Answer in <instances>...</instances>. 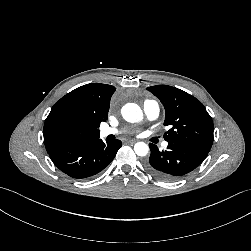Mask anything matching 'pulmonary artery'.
<instances>
[{
	"mask_svg": "<svg viewBox=\"0 0 251 251\" xmlns=\"http://www.w3.org/2000/svg\"><path fill=\"white\" fill-rule=\"evenodd\" d=\"M143 111L148 120H155L160 113V108L157 102L153 100H146L143 104ZM119 133V130L112 127H104L100 130L101 137H107ZM168 143L164 142L163 147H167Z\"/></svg>",
	"mask_w": 251,
	"mask_h": 251,
	"instance_id": "pulmonary-artery-1",
	"label": "pulmonary artery"
}]
</instances>
